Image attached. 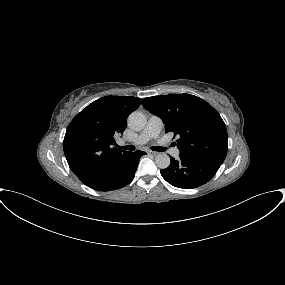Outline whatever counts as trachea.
I'll return each instance as SVG.
<instances>
[{"instance_id":"trachea-1","label":"trachea","mask_w":285,"mask_h":285,"mask_svg":"<svg viewBox=\"0 0 285 285\" xmlns=\"http://www.w3.org/2000/svg\"><path fill=\"white\" fill-rule=\"evenodd\" d=\"M119 148L120 149H124V150H129V151H134L135 150V146H133V145L119 146ZM151 150L158 151V152H163V151L166 150V148L160 147V146H152Z\"/></svg>"}]
</instances>
